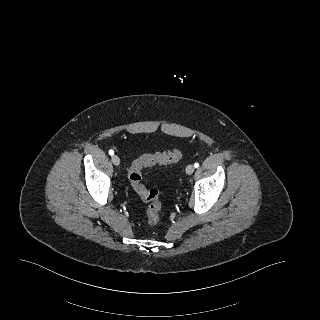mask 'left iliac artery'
I'll use <instances>...</instances> for the list:
<instances>
[{"label": "left iliac artery", "instance_id": "1", "mask_svg": "<svg viewBox=\"0 0 320 320\" xmlns=\"http://www.w3.org/2000/svg\"><path fill=\"white\" fill-rule=\"evenodd\" d=\"M194 167H195V168H198V167H199V163H195V164H194Z\"/></svg>", "mask_w": 320, "mask_h": 320}]
</instances>
